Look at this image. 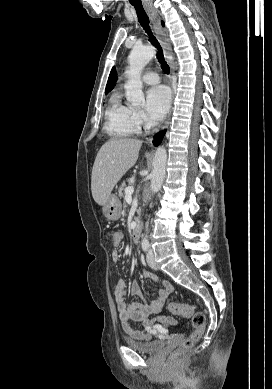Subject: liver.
I'll list each match as a JSON object with an SVG mask.
<instances>
[{
  "label": "liver",
  "mask_w": 272,
  "mask_h": 389,
  "mask_svg": "<svg viewBox=\"0 0 272 389\" xmlns=\"http://www.w3.org/2000/svg\"><path fill=\"white\" fill-rule=\"evenodd\" d=\"M142 141L137 139H109L102 145L94 161L91 191L98 205H105L114 186L138 159Z\"/></svg>",
  "instance_id": "1"
}]
</instances>
